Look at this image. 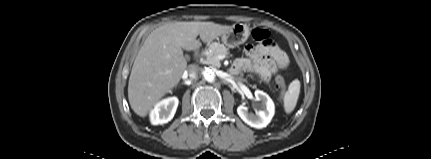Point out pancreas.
I'll use <instances>...</instances> for the list:
<instances>
[{
	"mask_svg": "<svg viewBox=\"0 0 431 159\" xmlns=\"http://www.w3.org/2000/svg\"><path fill=\"white\" fill-rule=\"evenodd\" d=\"M229 49L226 48L223 44L220 43H212L209 46V49L203 52V62L207 65H212L215 67L220 66V60L217 58L219 55H228Z\"/></svg>",
	"mask_w": 431,
	"mask_h": 159,
	"instance_id": "1",
	"label": "pancreas"
}]
</instances>
